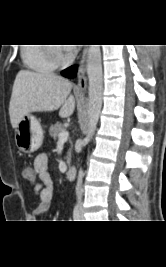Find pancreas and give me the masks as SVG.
I'll use <instances>...</instances> for the list:
<instances>
[{"mask_svg": "<svg viewBox=\"0 0 166 267\" xmlns=\"http://www.w3.org/2000/svg\"><path fill=\"white\" fill-rule=\"evenodd\" d=\"M65 131V126L59 122H57L56 124L54 125H51L50 128H49V132H50V135L53 137V138H56L59 136V134L61 132ZM67 163L70 164V152L67 153Z\"/></svg>", "mask_w": 166, "mask_h": 267, "instance_id": "obj_1", "label": "pancreas"}]
</instances>
